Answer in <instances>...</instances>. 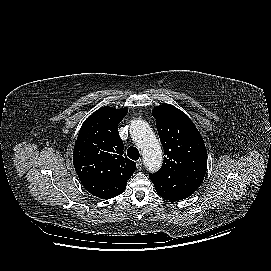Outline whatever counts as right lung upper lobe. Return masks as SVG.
<instances>
[{
	"mask_svg": "<svg viewBox=\"0 0 271 271\" xmlns=\"http://www.w3.org/2000/svg\"><path fill=\"white\" fill-rule=\"evenodd\" d=\"M128 108L104 106L83 123L73 151V164L81 182H109L126 187L136 163L123 157L118 124Z\"/></svg>",
	"mask_w": 271,
	"mask_h": 271,
	"instance_id": "obj_1",
	"label": "right lung upper lobe"
}]
</instances>
